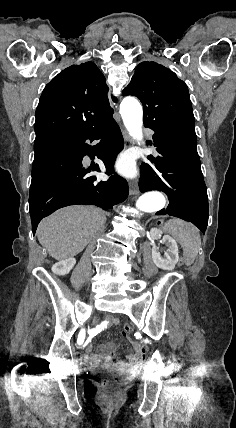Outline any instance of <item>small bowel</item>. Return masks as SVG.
<instances>
[{
	"label": "small bowel",
	"mask_w": 236,
	"mask_h": 428,
	"mask_svg": "<svg viewBox=\"0 0 236 428\" xmlns=\"http://www.w3.org/2000/svg\"><path fill=\"white\" fill-rule=\"evenodd\" d=\"M120 320L116 317H106L100 324L94 327L90 331L89 340L86 344V351L88 353L85 362L91 368H97L102 365L112 366L115 364L114 355H115V345L111 342L103 343L98 346L97 352L92 353V344L91 339L104 331L110 326L118 325ZM135 354L128 356L125 361L117 363V366L121 369L136 370L143 363L146 355V349L144 345L138 341L132 342Z\"/></svg>",
	"instance_id": "1"
}]
</instances>
